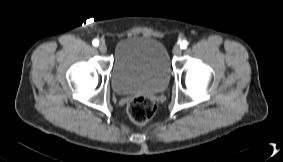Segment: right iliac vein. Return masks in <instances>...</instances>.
Wrapping results in <instances>:
<instances>
[{
	"label": "right iliac vein",
	"instance_id": "1",
	"mask_svg": "<svg viewBox=\"0 0 283 162\" xmlns=\"http://www.w3.org/2000/svg\"><path fill=\"white\" fill-rule=\"evenodd\" d=\"M98 48H99L101 53H106L107 52V46L104 43H101Z\"/></svg>",
	"mask_w": 283,
	"mask_h": 162
}]
</instances>
